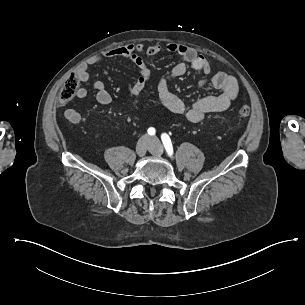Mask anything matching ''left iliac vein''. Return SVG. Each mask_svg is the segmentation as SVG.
I'll list each match as a JSON object with an SVG mask.
<instances>
[{"instance_id":"4c4485c4","label":"left iliac vein","mask_w":305,"mask_h":305,"mask_svg":"<svg viewBox=\"0 0 305 305\" xmlns=\"http://www.w3.org/2000/svg\"><path fill=\"white\" fill-rule=\"evenodd\" d=\"M151 142L153 144V147L150 148L151 153L158 156L163 154V148L160 141L156 137H152Z\"/></svg>"}]
</instances>
